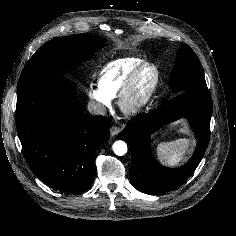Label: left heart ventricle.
<instances>
[{
    "label": "left heart ventricle",
    "mask_w": 236,
    "mask_h": 236,
    "mask_svg": "<svg viewBox=\"0 0 236 236\" xmlns=\"http://www.w3.org/2000/svg\"><path fill=\"white\" fill-rule=\"evenodd\" d=\"M154 79H155L154 69L151 67L144 69L136 81L131 101L136 102L140 100L151 88Z\"/></svg>",
    "instance_id": "1"
}]
</instances>
